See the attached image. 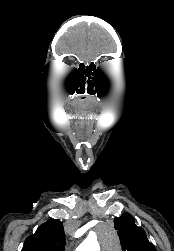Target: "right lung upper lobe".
Listing matches in <instances>:
<instances>
[{"mask_svg":"<svg viewBox=\"0 0 174 251\" xmlns=\"http://www.w3.org/2000/svg\"><path fill=\"white\" fill-rule=\"evenodd\" d=\"M65 233L61 221L49 219L26 238L22 251H64Z\"/></svg>","mask_w":174,"mask_h":251,"instance_id":"obj_1","label":"right lung upper lobe"}]
</instances>
